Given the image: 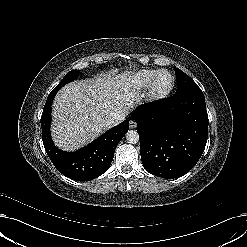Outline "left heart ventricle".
Masks as SVG:
<instances>
[{"label": "left heart ventricle", "mask_w": 247, "mask_h": 247, "mask_svg": "<svg viewBox=\"0 0 247 247\" xmlns=\"http://www.w3.org/2000/svg\"><path fill=\"white\" fill-rule=\"evenodd\" d=\"M168 82H169V77L168 76H166V75H162L161 77H160V80H159V84L160 85H166V84H168Z\"/></svg>", "instance_id": "obj_1"}]
</instances>
